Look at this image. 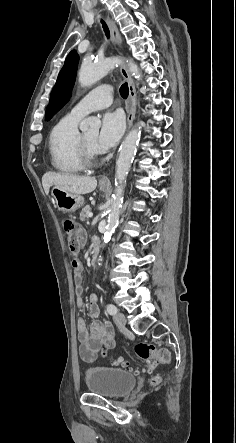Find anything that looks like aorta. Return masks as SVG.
I'll return each mask as SVG.
<instances>
[{
    "label": "aorta",
    "mask_w": 236,
    "mask_h": 443,
    "mask_svg": "<svg viewBox=\"0 0 236 443\" xmlns=\"http://www.w3.org/2000/svg\"><path fill=\"white\" fill-rule=\"evenodd\" d=\"M120 63L121 60L117 57L107 58L98 63L84 61L79 70L78 81L83 87L91 86ZM127 66L133 76L139 77V69L135 63L127 61ZM100 126L101 121L99 118L88 117L80 123V130L87 131L88 129H93L98 131ZM139 139L140 130L138 128H133L121 146V150L116 162L115 190L114 194L112 195L107 228L104 234L105 243L110 240L119 221L120 211L123 203L124 184L126 183V177L128 175L131 162L134 158Z\"/></svg>",
    "instance_id": "762f6f07"
}]
</instances>
